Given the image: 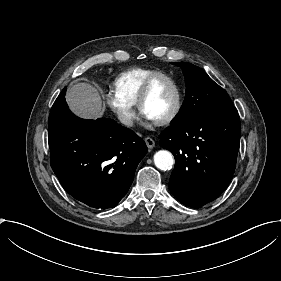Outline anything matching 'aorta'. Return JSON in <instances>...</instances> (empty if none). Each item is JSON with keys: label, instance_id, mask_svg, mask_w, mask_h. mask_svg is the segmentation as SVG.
I'll list each match as a JSON object with an SVG mask.
<instances>
[{"label": "aorta", "instance_id": "1", "mask_svg": "<svg viewBox=\"0 0 281 281\" xmlns=\"http://www.w3.org/2000/svg\"><path fill=\"white\" fill-rule=\"evenodd\" d=\"M154 163L160 170H169L174 164V158L171 152L167 150H160L154 155Z\"/></svg>", "mask_w": 281, "mask_h": 281}]
</instances>
